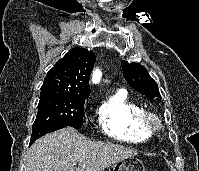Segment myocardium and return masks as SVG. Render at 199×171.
Returning a JSON list of instances; mask_svg holds the SVG:
<instances>
[{
  "instance_id": "myocardium-1",
  "label": "myocardium",
  "mask_w": 199,
  "mask_h": 171,
  "mask_svg": "<svg viewBox=\"0 0 199 171\" xmlns=\"http://www.w3.org/2000/svg\"><path fill=\"white\" fill-rule=\"evenodd\" d=\"M143 119L147 128L153 133L158 132L163 128V123L160 116L154 112L145 110Z\"/></svg>"
}]
</instances>
